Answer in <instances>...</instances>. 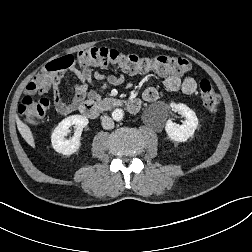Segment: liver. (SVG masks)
Segmentation results:
<instances>
[{
  "instance_id": "6515ba94",
  "label": "liver",
  "mask_w": 252,
  "mask_h": 252,
  "mask_svg": "<svg viewBox=\"0 0 252 252\" xmlns=\"http://www.w3.org/2000/svg\"><path fill=\"white\" fill-rule=\"evenodd\" d=\"M17 128L21 134V136L24 138V140L33 148H35V141L34 136L32 134V131L29 126H27L25 123H23L19 118L16 120Z\"/></svg>"
}]
</instances>
